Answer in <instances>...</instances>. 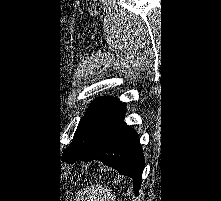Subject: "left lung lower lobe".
<instances>
[{"mask_svg":"<svg viewBox=\"0 0 221 201\" xmlns=\"http://www.w3.org/2000/svg\"><path fill=\"white\" fill-rule=\"evenodd\" d=\"M125 109L123 103L113 107L101 122L89 144L64 161L69 163L78 160L102 161L105 165L115 168L120 174L133 178L134 192L137 195L145 162L138 134L123 120Z\"/></svg>","mask_w":221,"mask_h":201,"instance_id":"1","label":"left lung lower lobe"}]
</instances>
